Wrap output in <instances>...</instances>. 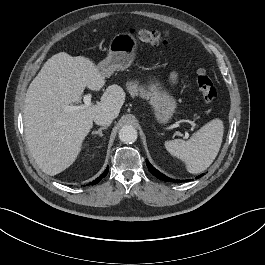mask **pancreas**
I'll use <instances>...</instances> for the list:
<instances>
[{
    "instance_id": "cf45deb5",
    "label": "pancreas",
    "mask_w": 265,
    "mask_h": 265,
    "mask_svg": "<svg viewBox=\"0 0 265 265\" xmlns=\"http://www.w3.org/2000/svg\"><path fill=\"white\" fill-rule=\"evenodd\" d=\"M127 90L132 96L139 95L142 98H149L150 92H147L143 87L138 86V83L136 82H130L127 84Z\"/></svg>"
}]
</instances>
